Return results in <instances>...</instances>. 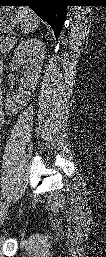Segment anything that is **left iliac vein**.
<instances>
[{
	"label": "left iliac vein",
	"instance_id": "4c4485c4",
	"mask_svg": "<svg viewBox=\"0 0 106 257\" xmlns=\"http://www.w3.org/2000/svg\"><path fill=\"white\" fill-rule=\"evenodd\" d=\"M8 210V203L4 202L1 206V211H0V222H2L7 214Z\"/></svg>",
	"mask_w": 106,
	"mask_h": 257
}]
</instances>
